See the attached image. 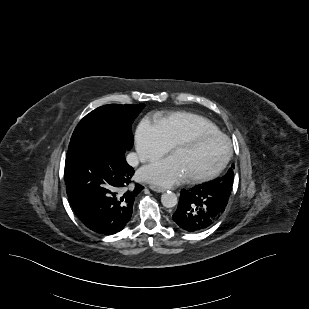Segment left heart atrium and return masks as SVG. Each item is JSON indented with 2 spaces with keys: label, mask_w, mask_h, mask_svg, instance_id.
<instances>
[{
  "label": "left heart atrium",
  "mask_w": 309,
  "mask_h": 309,
  "mask_svg": "<svg viewBox=\"0 0 309 309\" xmlns=\"http://www.w3.org/2000/svg\"><path fill=\"white\" fill-rule=\"evenodd\" d=\"M139 177L142 180L166 186L178 184L187 179L182 164L175 155L143 167L139 171Z\"/></svg>",
  "instance_id": "left-heart-atrium-1"
}]
</instances>
